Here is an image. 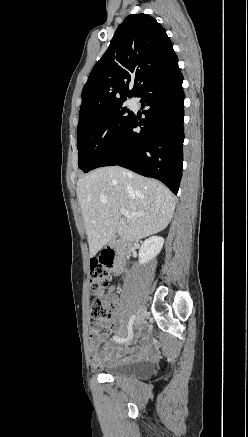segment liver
<instances>
[{
    "label": "liver",
    "instance_id": "obj_1",
    "mask_svg": "<svg viewBox=\"0 0 248 437\" xmlns=\"http://www.w3.org/2000/svg\"><path fill=\"white\" fill-rule=\"evenodd\" d=\"M76 190L91 257L115 234L137 242L164 230L175 210L174 196L162 183L118 166L81 177ZM121 208L143 215L122 217Z\"/></svg>",
    "mask_w": 248,
    "mask_h": 437
}]
</instances>
